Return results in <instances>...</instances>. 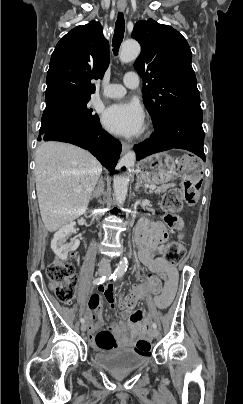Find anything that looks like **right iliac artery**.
I'll use <instances>...</instances> for the list:
<instances>
[{"label": "right iliac artery", "instance_id": "82829eb1", "mask_svg": "<svg viewBox=\"0 0 243 404\" xmlns=\"http://www.w3.org/2000/svg\"><path fill=\"white\" fill-rule=\"evenodd\" d=\"M116 275H117V273H113V274L108 275V276H102V277L96 278V279L93 281V284H94V285L102 284V283H104V282L107 281V280L114 279V278L116 277ZM80 321H81V323H84V322H85L84 318H81Z\"/></svg>", "mask_w": 243, "mask_h": 404}]
</instances>
